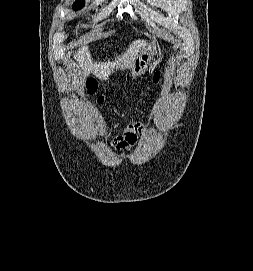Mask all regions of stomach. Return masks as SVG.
<instances>
[{"label": "stomach", "instance_id": "0dacf381", "mask_svg": "<svg viewBox=\"0 0 253 271\" xmlns=\"http://www.w3.org/2000/svg\"><path fill=\"white\" fill-rule=\"evenodd\" d=\"M155 49L147 48L138 54L131 66L132 76H139L145 73L151 61L154 59Z\"/></svg>", "mask_w": 253, "mask_h": 271}]
</instances>
